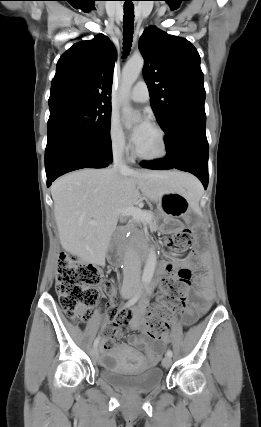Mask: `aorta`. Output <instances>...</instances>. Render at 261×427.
Segmentation results:
<instances>
[{"label":"aorta","instance_id":"762f6f07","mask_svg":"<svg viewBox=\"0 0 261 427\" xmlns=\"http://www.w3.org/2000/svg\"><path fill=\"white\" fill-rule=\"evenodd\" d=\"M144 66V59L141 55H135L129 59L122 70L121 80V96H122V112L125 115L132 114V108L129 104L128 96L130 90L137 80L140 72ZM157 264V256L154 249H151L148 254V258L144 267L142 280L144 282H150L153 278L154 271Z\"/></svg>","mask_w":261,"mask_h":427}]
</instances>
